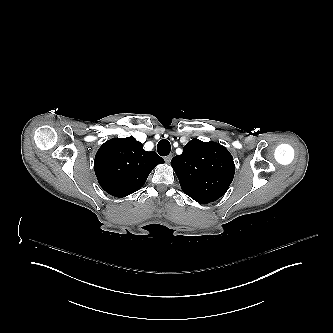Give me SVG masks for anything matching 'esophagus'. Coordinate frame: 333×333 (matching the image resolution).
Wrapping results in <instances>:
<instances>
[{
	"mask_svg": "<svg viewBox=\"0 0 333 333\" xmlns=\"http://www.w3.org/2000/svg\"><path fill=\"white\" fill-rule=\"evenodd\" d=\"M171 158H172V154L166 156V157L164 158V160H165L166 163H169V162L171 161Z\"/></svg>",
	"mask_w": 333,
	"mask_h": 333,
	"instance_id": "esophagus-1",
	"label": "esophagus"
}]
</instances>
